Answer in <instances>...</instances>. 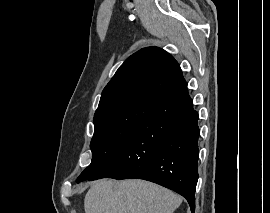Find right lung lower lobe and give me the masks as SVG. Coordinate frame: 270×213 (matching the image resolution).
Masks as SVG:
<instances>
[{
    "mask_svg": "<svg viewBox=\"0 0 270 213\" xmlns=\"http://www.w3.org/2000/svg\"><path fill=\"white\" fill-rule=\"evenodd\" d=\"M198 113L185 87L158 103L103 169L88 180L139 178L186 198L195 211Z\"/></svg>",
    "mask_w": 270,
    "mask_h": 213,
    "instance_id": "right-lung-lower-lobe-1",
    "label": "right lung lower lobe"
}]
</instances>
